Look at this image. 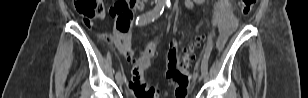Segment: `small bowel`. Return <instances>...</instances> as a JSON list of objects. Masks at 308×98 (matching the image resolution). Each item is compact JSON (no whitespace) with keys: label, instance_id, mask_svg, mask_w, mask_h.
I'll list each match as a JSON object with an SVG mask.
<instances>
[{"label":"small bowel","instance_id":"obj_1","mask_svg":"<svg viewBox=\"0 0 308 98\" xmlns=\"http://www.w3.org/2000/svg\"><path fill=\"white\" fill-rule=\"evenodd\" d=\"M202 0L190 1L186 0L185 4L187 7L192 8L195 2H201ZM144 8V1H135L133 9L142 10ZM229 36V29L223 26H219V38L217 42L218 49L221 50L224 47Z\"/></svg>","mask_w":308,"mask_h":98}]
</instances>
